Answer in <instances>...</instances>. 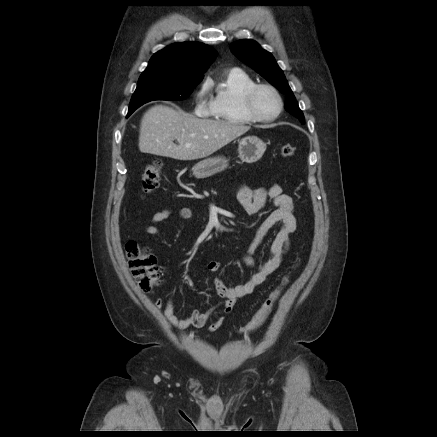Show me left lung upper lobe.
Returning <instances> with one entry per match:
<instances>
[{"label": "left lung upper lobe", "instance_id": "5c2ea615", "mask_svg": "<svg viewBox=\"0 0 437 437\" xmlns=\"http://www.w3.org/2000/svg\"><path fill=\"white\" fill-rule=\"evenodd\" d=\"M230 49L236 57L253 68L286 96L285 110L304 124V115L298 106V102L288 85L283 71L271 53L262 49L257 42L250 39L236 41L230 45Z\"/></svg>", "mask_w": 437, "mask_h": 437}]
</instances>
